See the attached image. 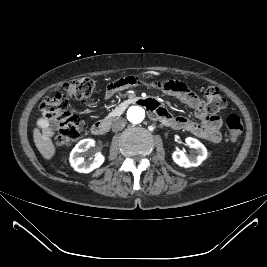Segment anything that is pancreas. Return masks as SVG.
I'll return each instance as SVG.
<instances>
[{
  "mask_svg": "<svg viewBox=\"0 0 267 267\" xmlns=\"http://www.w3.org/2000/svg\"><path fill=\"white\" fill-rule=\"evenodd\" d=\"M120 114H121V112L113 111L105 118V120L112 121L116 116H118Z\"/></svg>",
  "mask_w": 267,
  "mask_h": 267,
  "instance_id": "cf45deb5",
  "label": "pancreas"
}]
</instances>
